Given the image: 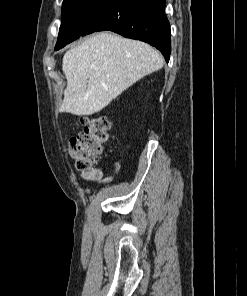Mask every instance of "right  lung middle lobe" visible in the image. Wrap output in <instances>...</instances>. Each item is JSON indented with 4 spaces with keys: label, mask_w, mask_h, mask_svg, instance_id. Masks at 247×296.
Returning <instances> with one entry per match:
<instances>
[{
    "label": "right lung middle lobe",
    "mask_w": 247,
    "mask_h": 296,
    "mask_svg": "<svg viewBox=\"0 0 247 296\" xmlns=\"http://www.w3.org/2000/svg\"><path fill=\"white\" fill-rule=\"evenodd\" d=\"M108 0H63L62 22L55 50L79 38L88 19Z\"/></svg>",
    "instance_id": "dd1d6c3e"
}]
</instances>
